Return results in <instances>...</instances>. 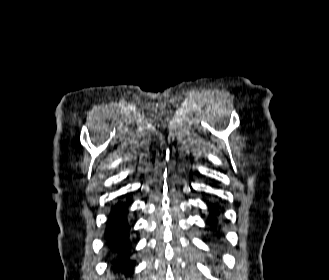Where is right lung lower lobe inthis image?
<instances>
[{
  "instance_id": "obj_1",
  "label": "right lung lower lobe",
  "mask_w": 329,
  "mask_h": 280,
  "mask_svg": "<svg viewBox=\"0 0 329 280\" xmlns=\"http://www.w3.org/2000/svg\"><path fill=\"white\" fill-rule=\"evenodd\" d=\"M126 210V206L122 204L114 207L107 223L106 240L113 257L114 266L131 271L135 264L128 258L129 225L125 219Z\"/></svg>"
}]
</instances>
